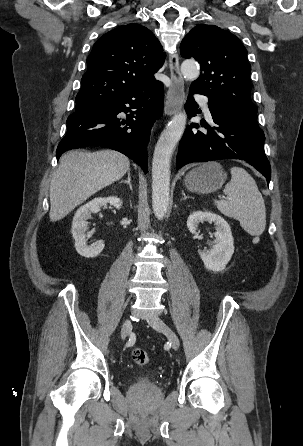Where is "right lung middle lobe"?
Wrapping results in <instances>:
<instances>
[{
    "mask_svg": "<svg viewBox=\"0 0 303 446\" xmlns=\"http://www.w3.org/2000/svg\"><path fill=\"white\" fill-rule=\"evenodd\" d=\"M88 106L86 105V100L76 98V109Z\"/></svg>",
    "mask_w": 303,
    "mask_h": 446,
    "instance_id": "1",
    "label": "right lung middle lobe"
}]
</instances>
